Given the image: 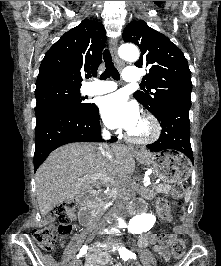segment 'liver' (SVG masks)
Here are the masks:
<instances>
[{"mask_svg":"<svg viewBox=\"0 0 221 266\" xmlns=\"http://www.w3.org/2000/svg\"><path fill=\"white\" fill-rule=\"evenodd\" d=\"M113 159L109 160L92 143H71L59 147L36 172V195L42 217L57 205L75 196L105 184L103 179H87L85 176L102 174L104 177L125 178L132 173L135 162L130 149L114 146Z\"/></svg>","mask_w":221,"mask_h":266,"instance_id":"obj_1","label":"liver"}]
</instances>
